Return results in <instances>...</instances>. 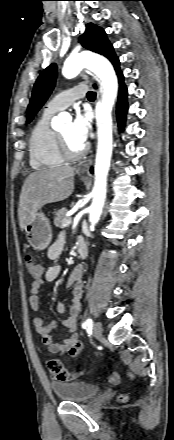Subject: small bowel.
I'll return each instance as SVG.
<instances>
[{
	"label": "small bowel",
	"instance_id": "small-bowel-1",
	"mask_svg": "<svg viewBox=\"0 0 174 440\" xmlns=\"http://www.w3.org/2000/svg\"><path fill=\"white\" fill-rule=\"evenodd\" d=\"M80 238V237H79ZM64 236L59 238L49 247L47 257L51 261H56L64 249ZM61 271L58 264L49 266L43 273V277L32 282L29 302L31 309L38 312L41 308L39 292L44 282H52L57 279ZM67 287L72 293V302L69 308V317L60 322L58 319H53L46 323V318L43 315L36 316L33 319L35 329L40 336L42 343L47 346L48 351L52 354L64 355L68 354L71 358H77L84 350V344L75 333L78 318L81 313V296L83 291V268L77 266L71 272ZM67 312L66 306L63 302L56 304V313L63 315ZM59 327L65 328L70 335L62 340L56 342L53 338V332ZM47 368L51 378L57 382H70L74 375L66 370L60 361L54 359L47 363Z\"/></svg>",
	"mask_w": 174,
	"mask_h": 440
}]
</instances>
